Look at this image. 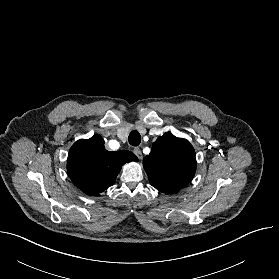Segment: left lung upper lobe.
Instances as JSON below:
<instances>
[{"instance_id": "1", "label": "left lung upper lobe", "mask_w": 279, "mask_h": 279, "mask_svg": "<svg viewBox=\"0 0 279 279\" xmlns=\"http://www.w3.org/2000/svg\"><path fill=\"white\" fill-rule=\"evenodd\" d=\"M150 184L158 191L175 194L194 177L196 158L193 146L172 133L160 136L151 153L143 159Z\"/></svg>"}]
</instances>
